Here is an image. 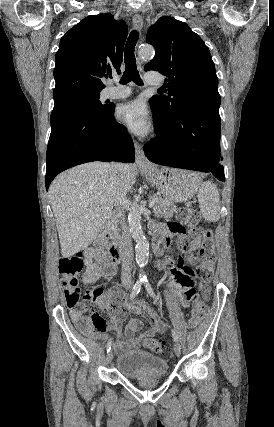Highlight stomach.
Returning a JSON list of instances; mask_svg holds the SVG:
<instances>
[{"mask_svg": "<svg viewBox=\"0 0 274 427\" xmlns=\"http://www.w3.org/2000/svg\"><path fill=\"white\" fill-rule=\"evenodd\" d=\"M145 174L149 182L171 202H188L201 184L199 174L185 172V170H172V168L157 170L152 166L151 170Z\"/></svg>", "mask_w": 274, "mask_h": 427, "instance_id": "1", "label": "stomach"}]
</instances>
